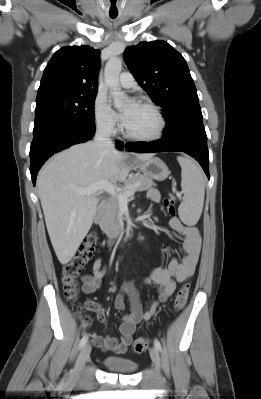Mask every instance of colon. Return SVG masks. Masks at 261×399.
I'll list each match as a JSON object with an SVG mask.
<instances>
[{
  "label": "colon",
  "mask_w": 261,
  "mask_h": 399,
  "mask_svg": "<svg viewBox=\"0 0 261 399\" xmlns=\"http://www.w3.org/2000/svg\"><path fill=\"white\" fill-rule=\"evenodd\" d=\"M164 207L170 215L175 214V204L171 198L164 200ZM98 243V235L96 233H89L84 237V240L80 248L75 253L74 257L64 264L61 272L62 290L65 298L75 303L78 300L79 289L77 283V277L80 274L83 267L91 260L95 247ZM189 293V284L183 285V287L177 292L174 299V309L181 311L186 305ZM83 321H87V317L81 316ZM149 347V341L145 338H138L132 345L134 353H142Z\"/></svg>",
  "instance_id": "colon-1"
}]
</instances>
